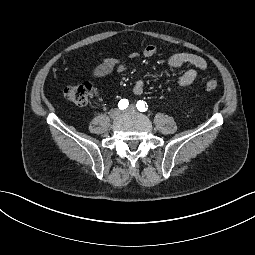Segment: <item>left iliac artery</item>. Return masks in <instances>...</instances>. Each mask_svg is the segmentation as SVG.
<instances>
[{
    "label": "left iliac artery",
    "instance_id": "44dca946",
    "mask_svg": "<svg viewBox=\"0 0 255 255\" xmlns=\"http://www.w3.org/2000/svg\"><path fill=\"white\" fill-rule=\"evenodd\" d=\"M136 107L140 112H145L148 109V105L143 100H139Z\"/></svg>",
    "mask_w": 255,
    "mask_h": 255
}]
</instances>
